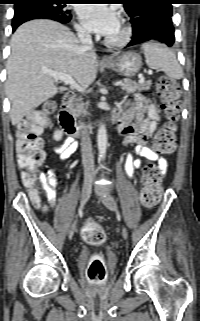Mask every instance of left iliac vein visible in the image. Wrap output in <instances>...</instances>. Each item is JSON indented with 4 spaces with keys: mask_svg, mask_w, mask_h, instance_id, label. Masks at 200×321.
<instances>
[{
    "mask_svg": "<svg viewBox=\"0 0 200 321\" xmlns=\"http://www.w3.org/2000/svg\"><path fill=\"white\" fill-rule=\"evenodd\" d=\"M97 193L100 196L101 201L104 203V205L111 211H116L117 210V204L115 200L108 194L100 191L97 189ZM122 237L124 239H127L128 237V231L126 228H123L122 230Z\"/></svg>",
    "mask_w": 200,
    "mask_h": 321,
    "instance_id": "obj_1",
    "label": "left iliac vein"
}]
</instances>
